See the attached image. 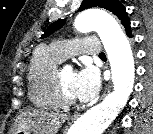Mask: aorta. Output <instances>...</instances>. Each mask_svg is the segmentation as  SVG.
I'll use <instances>...</instances> for the list:
<instances>
[{"label":"aorta","mask_w":153,"mask_h":134,"mask_svg":"<svg viewBox=\"0 0 153 134\" xmlns=\"http://www.w3.org/2000/svg\"><path fill=\"white\" fill-rule=\"evenodd\" d=\"M79 32L96 31L106 50L114 84L104 100L84 113L72 126V134H103L133 90L135 67L131 46L114 18L96 9L80 13L75 20Z\"/></svg>","instance_id":"762f6f07"}]
</instances>
